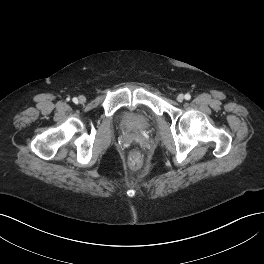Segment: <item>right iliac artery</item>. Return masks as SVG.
I'll list each match as a JSON object with an SVG mask.
<instances>
[{
    "label": "right iliac artery",
    "mask_w": 264,
    "mask_h": 264,
    "mask_svg": "<svg viewBox=\"0 0 264 264\" xmlns=\"http://www.w3.org/2000/svg\"><path fill=\"white\" fill-rule=\"evenodd\" d=\"M74 103H77L78 102V99L75 97L72 99Z\"/></svg>",
    "instance_id": "right-iliac-artery-1"
}]
</instances>
